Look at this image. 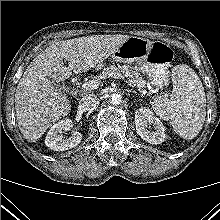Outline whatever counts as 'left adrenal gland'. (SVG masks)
<instances>
[{
  "label": "left adrenal gland",
  "mask_w": 220,
  "mask_h": 220,
  "mask_svg": "<svg viewBox=\"0 0 220 220\" xmlns=\"http://www.w3.org/2000/svg\"><path fill=\"white\" fill-rule=\"evenodd\" d=\"M127 91L130 92V93H131V92H132V93H135V94L137 93L135 90H132V89H131V90H127Z\"/></svg>",
  "instance_id": "1"
}]
</instances>
